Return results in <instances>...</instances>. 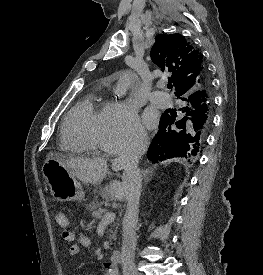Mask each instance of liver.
Listing matches in <instances>:
<instances>
[{
    "label": "liver",
    "instance_id": "1",
    "mask_svg": "<svg viewBox=\"0 0 263 275\" xmlns=\"http://www.w3.org/2000/svg\"><path fill=\"white\" fill-rule=\"evenodd\" d=\"M48 158L59 161L72 176L77 177L85 184H99L108 170L107 161L103 158H67L65 155L53 152L48 154ZM112 169L115 171L121 169L115 160L112 163ZM104 196L108 200H124L127 197V186L124 179L121 182L113 180L106 188Z\"/></svg>",
    "mask_w": 263,
    "mask_h": 275
}]
</instances>
